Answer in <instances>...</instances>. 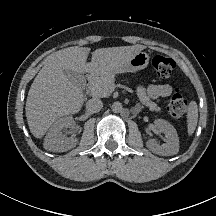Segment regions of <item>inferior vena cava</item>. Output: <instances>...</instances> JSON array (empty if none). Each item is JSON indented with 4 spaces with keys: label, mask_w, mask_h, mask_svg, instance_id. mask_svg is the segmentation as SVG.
Here are the masks:
<instances>
[{
    "label": "inferior vena cava",
    "mask_w": 216,
    "mask_h": 216,
    "mask_svg": "<svg viewBox=\"0 0 216 216\" xmlns=\"http://www.w3.org/2000/svg\"><path fill=\"white\" fill-rule=\"evenodd\" d=\"M102 107L103 102L98 98H92L86 103V109L90 113H97L102 109Z\"/></svg>",
    "instance_id": "602c4592"
}]
</instances>
